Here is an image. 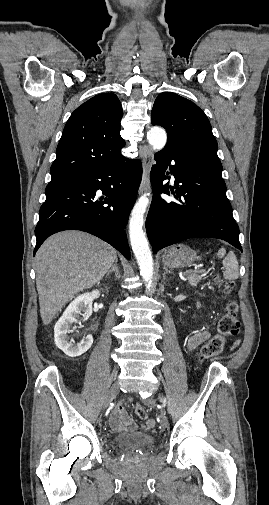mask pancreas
Returning a JSON list of instances; mask_svg holds the SVG:
<instances>
[{"label":"pancreas","mask_w":269,"mask_h":505,"mask_svg":"<svg viewBox=\"0 0 269 505\" xmlns=\"http://www.w3.org/2000/svg\"><path fill=\"white\" fill-rule=\"evenodd\" d=\"M200 273H204V271H201ZM204 275L205 274H199V272L191 270L189 273H187L188 283L191 286H196L202 280Z\"/></svg>","instance_id":"cf45deb5"}]
</instances>
